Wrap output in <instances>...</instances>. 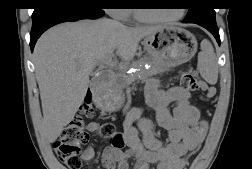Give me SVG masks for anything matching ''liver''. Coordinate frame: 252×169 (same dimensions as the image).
<instances>
[{
    "instance_id": "1",
    "label": "liver",
    "mask_w": 252,
    "mask_h": 169,
    "mask_svg": "<svg viewBox=\"0 0 252 169\" xmlns=\"http://www.w3.org/2000/svg\"><path fill=\"white\" fill-rule=\"evenodd\" d=\"M161 27L84 19L57 25L39 38L33 58L49 142L57 140L74 118L86 96L90 75L101 60L116 51L122 60L131 61L141 39Z\"/></svg>"
}]
</instances>
